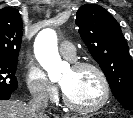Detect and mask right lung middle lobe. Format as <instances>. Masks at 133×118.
<instances>
[{
  "label": "right lung middle lobe",
  "mask_w": 133,
  "mask_h": 118,
  "mask_svg": "<svg viewBox=\"0 0 133 118\" xmlns=\"http://www.w3.org/2000/svg\"><path fill=\"white\" fill-rule=\"evenodd\" d=\"M16 67V59L0 58V95L11 94L18 88Z\"/></svg>",
  "instance_id": "obj_1"
}]
</instances>
